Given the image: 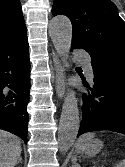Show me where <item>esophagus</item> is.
I'll list each match as a JSON object with an SVG mask.
<instances>
[{"label":"esophagus","mask_w":125,"mask_h":167,"mask_svg":"<svg viewBox=\"0 0 125 167\" xmlns=\"http://www.w3.org/2000/svg\"><path fill=\"white\" fill-rule=\"evenodd\" d=\"M53 63L55 69V89L56 94L60 100L64 98L65 95V83L63 69L60 63V58L56 52H52Z\"/></svg>","instance_id":"1"}]
</instances>
